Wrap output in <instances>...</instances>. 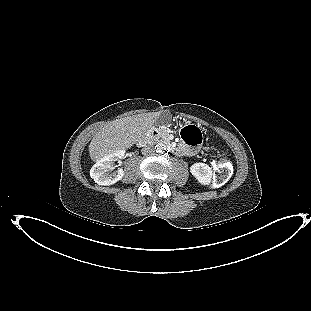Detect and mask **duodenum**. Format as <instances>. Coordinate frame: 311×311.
Returning a JSON list of instances; mask_svg holds the SVG:
<instances>
[{
    "label": "duodenum",
    "instance_id": "duodenum-1",
    "mask_svg": "<svg viewBox=\"0 0 311 311\" xmlns=\"http://www.w3.org/2000/svg\"><path fill=\"white\" fill-rule=\"evenodd\" d=\"M160 137V131L156 128H153L148 131L138 142L139 145H143L146 142H148L151 139L159 138ZM170 152L173 154H178L180 150H177L176 148L171 147Z\"/></svg>",
    "mask_w": 311,
    "mask_h": 311
}]
</instances>
